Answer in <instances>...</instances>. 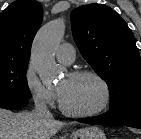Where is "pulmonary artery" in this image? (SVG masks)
<instances>
[{"instance_id": "e3ab8cb5", "label": "pulmonary artery", "mask_w": 141, "mask_h": 139, "mask_svg": "<svg viewBox=\"0 0 141 139\" xmlns=\"http://www.w3.org/2000/svg\"><path fill=\"white\" fill-rule=\"evenodd\" d=\"M56 58L63 64H72L75 59V50L69 43L59 45L56 50Z\"/></svg>"}]
</instances>
